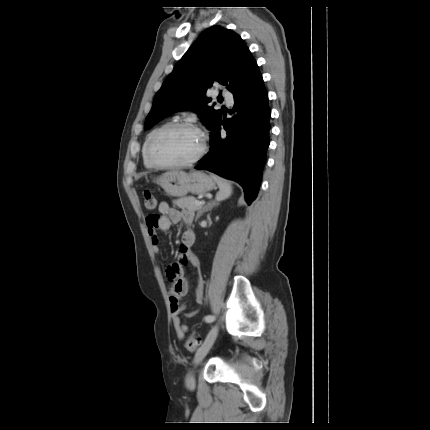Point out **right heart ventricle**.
Returning <instances> with one entry per match:
<instances>
[{
  "mask_svg": "<svg viewBox=\"0 0 430 430\" xmlns=\"http://www.w3.org/2000/svg\"><path fill=\"white\" fill-rule=\"evenodd\" d=\"M164 125H166V124H162V125H160V126L156 127L155 129H153V130H152V131L147 135V137H146V139H145V141H144L143 148H142V156H143V164H144V166H145L146 168H149V169L155 168V166H154V165H152V164L150 163V161L148 160L147 155H146V145H147V142H148L149 138L152 136V134H154L158 129H160V128H161V127H163Z\"/></svg>",
  "mask_w": 430,
  "mask_h": 430,
  "instance_id": "right-heart-ventricle-1",
  "label": "right heart ventricle"
}]
</instances>
